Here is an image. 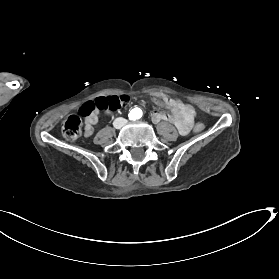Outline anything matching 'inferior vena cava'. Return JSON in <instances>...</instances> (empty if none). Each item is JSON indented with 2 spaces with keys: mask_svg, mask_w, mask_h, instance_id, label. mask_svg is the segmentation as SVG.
Masks as SVG:
<instances>
[{
  "mask_svg": "<svg viewBox=\"0 0 279 279\" xmlns=\"http://www.w3.org/2000/svg\"><path fill=\"white\" fill-rule=\"evenodd\" d=\"M128 121L126 119H123V118H117L113 125L116 129H120L121 127H124L126 125Z\"/></svg>",
  "mask_w": 279,
  "mask_h": 279,
  "instance_id": "1",
  "label": "inferior vena cava"
}]
</instances>
